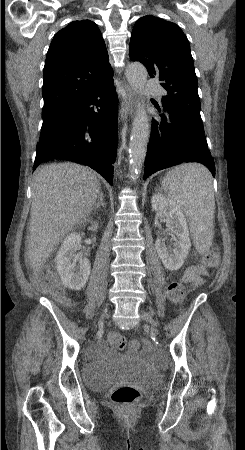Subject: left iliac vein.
<instances>
[{"label":"left iliac vein","mask_w":245,"mask_h":450,"mask_svg":"<svg viewBox=\"0 0 245 450\" xmlns=\"http://www.w3.org/2000/svg\"><path fill=\"white\" fill-rule=\"evenodd\" d=\"M141 316H142L143 320H145L146 322H149L152 326L157 327V323L148 313L142 311Z\"/></svg>","instance_id":"obj_1"}]
</instances>
